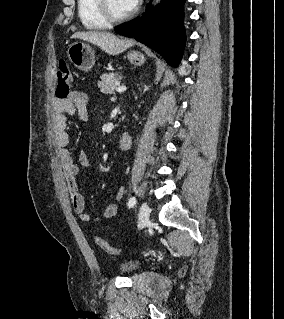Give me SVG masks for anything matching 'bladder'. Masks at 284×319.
Returning <instances> with one entry per match:
<instances>
[{"label": "bladder", "mask_w": 284, "mask_h": 319, "mask_svg": "<svg viewBox=\"0 0 284 319\" xmlns=\"http://www.w3.org/2000/svg\"><path fill=\"white\" fill-rule=\"evenodd\" d=\"M141 265L139 260H127L120 264L119 271L121 273L129 274L137 270Z\"/></svg>", "instance_id": "obj_1"}]
</instances>
